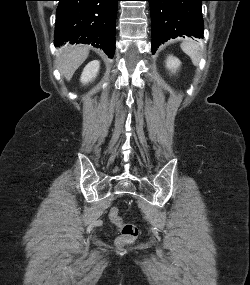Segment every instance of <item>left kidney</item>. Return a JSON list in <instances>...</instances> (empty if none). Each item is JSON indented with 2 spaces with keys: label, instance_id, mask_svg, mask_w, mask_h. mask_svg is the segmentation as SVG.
Returning a JSON list of instances; mask_svg holds the SVG:
<instances>
[{
  "label": "left kidney",
  "instance_id": "1",
  "mask_svg": "<svg viewBox=\"0 0 250 285\" xmlns=\"http://www.w3.org/2000/svg\"><path fill=\"white\" fill-rule=\"evenodd\" d=\"M181 62L178 58L174 56H168L166 60V68L171 72H176V70L180 67Z\"/></svg>",
  "mask_w": 250,
  "mask_h": 285
}]
</instances>
